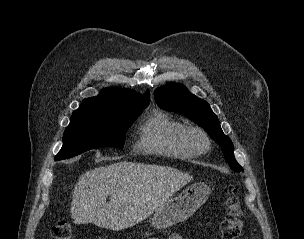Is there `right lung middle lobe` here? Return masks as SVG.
Instances as JSON below:
<instances>
[{
	"instance_id": "1",
	"label": "right lung middle lobe",
	"mask_w": 304,
	"mask_h": 239,
	"mask_svg": "<svg viewBox=\"0 0 304 239\" xmlns=\"http://www.w3.org/2000/svg\"><path fill=\"white\" fill-rule=\"evenodd\" d=\"M144 108H126L111 114L72 115L64 132L63 146L55 160L71 158L101 147L123 148L126 130Z\"/></svg>"
}]
</instances>
